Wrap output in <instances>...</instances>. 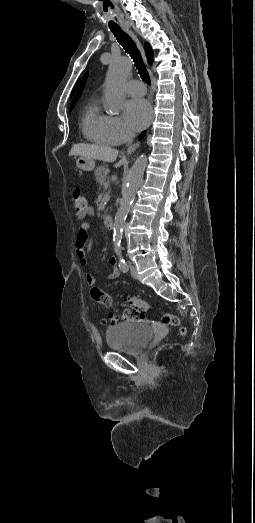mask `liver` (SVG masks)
<instances>
[{"instance_id":"1","label":"liver","mask_w":255,"mask_h":523,"mask_svg":"<svg viewBox=\"0 0 255 523\" xmlns=\"http://www.w3.org/2000/svg\"><path fill=\"white\" fill-rule=\"evenodd\" d=\"M69 156H83L86 160H102V162H115L118 152L106 146H94V144H75L69 152ZM125 160H120L115 168L123 166Z\"/></svg>"}]
</instances>
